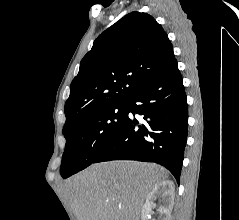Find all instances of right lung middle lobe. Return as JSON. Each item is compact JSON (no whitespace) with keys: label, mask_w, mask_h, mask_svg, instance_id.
I'll list each match as a JSON object with an SVG mask.
<instances>
[{"label":"right lung middle lobe","mask_w":239,"mask_h":220,"mask_svg":"<svg viewBox=\"0 0 239 220\" xmlns=\"http://www.w3.org/2000/svg\"><path fill=\"white\" fill-rule=\"evenodd\" d=\"M127 116L124 103L94 110L63 130L66 138L60 174L65 179L90 164L119 131Z\"/></svg>","instance_id":"right-lung-middle-lobe-1"}]
</instances>
